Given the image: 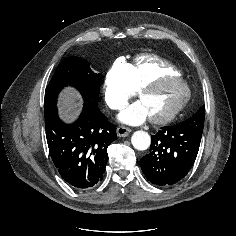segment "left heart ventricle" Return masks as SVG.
I'll list each match as a JSON object with an SVG mask.
<instances>
[{"instance_id": "b2bd125f", "label": "left heart ventricle", "mask_w": 236, "mask_h": 236, "mask_svg": "<svg viewBox=\"0 0 236 236\" xmlns=\"http://www.w3.org/2000/svg\"><path fill=\"white\" fill-rule=\"evenodd\" d=\"M183 86L175 81H166L153 90L142 94L140 101L150 117H158L168 113L183 96Z\"/></svg>"}]
</instances>
